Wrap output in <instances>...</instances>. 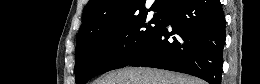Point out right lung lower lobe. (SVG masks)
<instances>
[{"mask_svg":"<svg viewBox=\"0 0 260 84\" xmlns=\"http://www.w3.org/2000/svg\"><path fill=\"white\" fill-rule=\"evenodd\" d=\"M225 38L220 0H179L164 12V25L152 44L129 65L182 72L221 84Z\"/></svg>","mask_w":260,"mask_h":84,"instance_id":"right-lung-lower-lobe-1","label":"right lung lower lobe"}]
</instances>
